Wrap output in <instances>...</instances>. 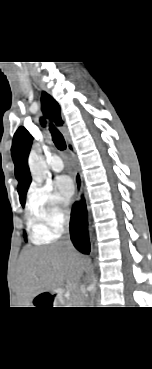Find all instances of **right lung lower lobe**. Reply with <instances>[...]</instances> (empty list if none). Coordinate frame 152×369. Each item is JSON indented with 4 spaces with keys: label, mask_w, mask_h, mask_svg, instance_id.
Instances as JSON below:
<instances>
[{
    "label": "right lung lower lobe",
    "mask_w": 152,
    "mask_h": 369,
    "mask_svg": "<svg viewBox=\"0 0 152 369\" xmlns=\"http://www.w3.org/2000/svg\"><path fill=\"white\" fill-rule=\"evenodd\" d=\"M70 235L76 249L84 254H89L90 242L87 231V209L83 199L73 205L70 220Z\"/></svg>",
    "instance_id": "98d812e1"
}]
</instances>
